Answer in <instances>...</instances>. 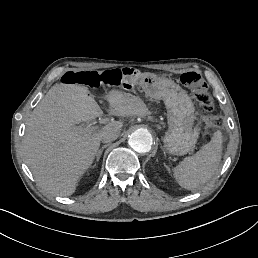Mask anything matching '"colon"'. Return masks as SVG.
<instances>
[{
	"mask_svg": "<svg viewBox=\"0 0 258 258\" xmlns=\"http://www.w3.org/2000/svg\"><path fill=\"white\" fill-rule=\"evenodd\" d=\"M181 83L190 88L197 101L207 110L213 109V100L207 84L196 72L182 74ZM62 82L68 85H82L90 89H111L121 82L119 69H106L98 71H70L63 75Z\"/></svg>",
	"mask_w": 258,
	"mask_h": 258,
	"instance_id": "obj_1",
	"label": "colon"
}]
</instances>
